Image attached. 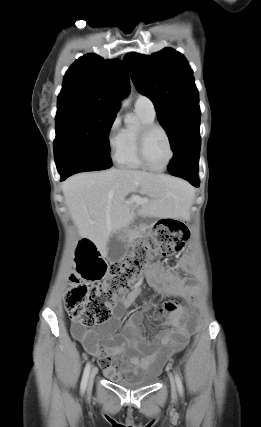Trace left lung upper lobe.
Segmentation results:
<instances>
[{
  "label": "left lung upper lobe",
  "mask_w": 261,
  "mask_h": 427,
  "mask_svg": "<svg viewBox=\"0 0 261 427\" xmlns=\"http://www.w3.org/2000/svg\"><path fill=\"white\" fill-rule=\"evenodd\" d=\"M124 62L137 90L152 100L173 150L186 132L200 126L199 94L191 67L171 48L151 56L128 53Z\"/></svg>",
  "instance_id": "left-lung-upper-lobe-1"
}]
</instances>
